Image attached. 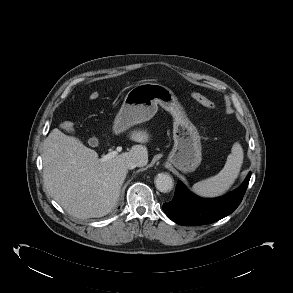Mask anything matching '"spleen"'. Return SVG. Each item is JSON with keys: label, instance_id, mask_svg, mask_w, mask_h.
<instances>
[{"label": "spleen", "instance_id": "spleen-1", "mask_svg": "<svg viewBox=\"0 0 293 293\" xmlns=\"http://www.w3.org/2000/svg\"><path fill=\"white\" fill-rule=\"evenodd\" d=\"M243 149L239 143L232 147L224 168L215 176L199 181L192 190L203 197H217L226 193L237 179L243 163Z\"/></svg>", "mask_w": 293, "mask_h": 293}]
</instances>
